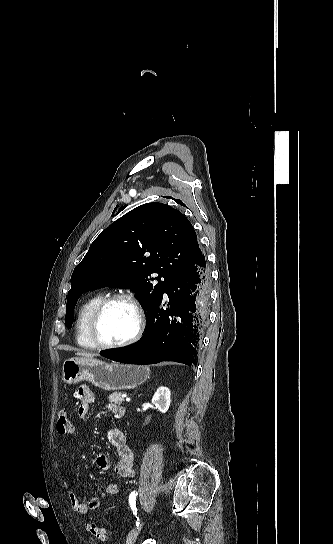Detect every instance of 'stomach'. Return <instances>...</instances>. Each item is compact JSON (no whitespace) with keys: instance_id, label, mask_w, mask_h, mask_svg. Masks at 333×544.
I'll use <instances>...</instances> for the list:
<instances>
[{"instance_id":"obj_1","label":"stomach","mask_w":333,"mask_h":544,"mask_svg":"<svg viewBox=\"0 0 333 544\" xmlns=\"http://www.w3.org/2000/svg\"><path fill=\"white\" fill-rule=\"evenodd\" d=\"M150 375L147 366L105 363L93 358H70L64 361L62 379L67 384L91 382L104 390L132 389L144 383Z\"/></svg>"}]
</instances>
